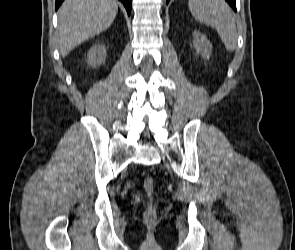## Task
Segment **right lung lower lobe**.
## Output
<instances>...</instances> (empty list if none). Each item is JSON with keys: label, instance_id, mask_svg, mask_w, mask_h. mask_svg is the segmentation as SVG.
<instances>
[{"label": "right lung lower lobe", "instance_id": "98d812e1", "mask_svg": "<svg viewBox=\"0 0 295 250\" xmlns=\"http://www.w3.org/2000/svg\"><path fill=\"white\" fill-rule=\"evenodd\" d=\"M63 1L64 0H56V5H55L56 10L59 8L60 4ZM119 1H121L124 4V6H125V8L127 10L128 15H130V13H131L132 0H119Z\"/></svg>", "mask_w": 295, "mask_h": 250}]
</instances>
